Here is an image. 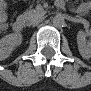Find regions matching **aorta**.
<instances>
[{
  "mask_svg": "<svg viewBox=\"0 0 91 91\" xmlns=\"http://www.w3.org/2000/svg\"><path fill=\"white\" fill-rule=\"evenodd\" d=\"M53 25L55 27H62L65 23L64 21V17L62 15H56L54 18H53Z\"/></svg>",
  "mask_w": 91,
  "mask_h": 91,
  "instance_id": "762f6f07",
  "label": "aorta"
}]
</instances>
